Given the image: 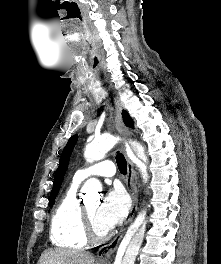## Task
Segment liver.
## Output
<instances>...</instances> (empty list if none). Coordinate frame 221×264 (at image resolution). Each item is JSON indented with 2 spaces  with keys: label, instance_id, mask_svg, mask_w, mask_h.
<instances>
[{
  "label": "liver",
  "instance_id": "obj_1",
  "mask_svg": "<svg viewBox=\"0 0 221 264\" xmlns=\"http://www.w3.org/2000/svg\"><path fill=\"white\" fill-rule=\"evenodd\" d=\"M38 264H94V256L80 250L48 249L41 254Z\"/></svg>",
  "mask_w": 221,
  "mask_h": 264
}]
</instances>
